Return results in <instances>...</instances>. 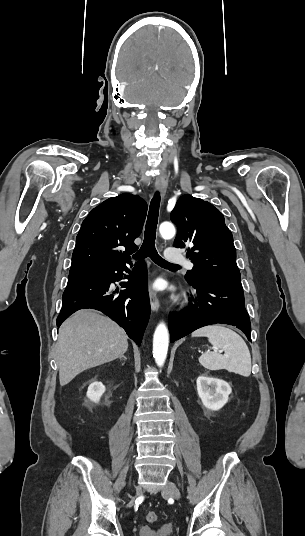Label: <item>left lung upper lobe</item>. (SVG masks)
Returning <instances> with one entry per match:
<instances>
[{
    "instance_id": "left-lung-upper-lobe-1",
    "label": "left lung upper lobe",
    "mask_w": 305,
    "mask_h": 536,
    "mask_svg": "<svg viewBox=\"0 0 305 536\" xmlns=\"http://www.w3.org/2000/svg\"><path fill=\"white\" fill-rule=\"evenodd\" d=\"M171 221L178 228L174 247H191L187 256L194 267L185 275L188 283L241 284L233 236L218 209L202 199L183 195L171 212Z\"/></svg>"
}]
</instances>
